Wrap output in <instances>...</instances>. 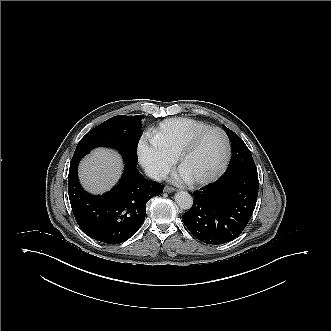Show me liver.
Masks as SVG:
<instances>
[{
    "label": "liver",
    "instance_id": "liver-1",
    "mask_svg": "<svg viewBox=\"0 0 331 331\" xmlns=\"http://www.w3.org/2000/svg\"><path fill=\"white\" fill-rule=\"evenodd\" d=\"M123 169L120 155L106 148H97L79 165L82 186L92 194L104 193L119 180Z\"/></svg>",
    "mask_w": 331,
    "mask_h": 331
}]
</instances>
